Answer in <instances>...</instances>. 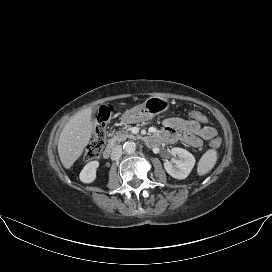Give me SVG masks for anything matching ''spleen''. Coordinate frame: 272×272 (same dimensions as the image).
Listing matches in <instances>:
<instances>
[{
    "mask_svg": "<svg viewBox=\"0 0 272 272\" xmlns=\"http://www.w3.org/2000/svg\"><path fill=\"white\" fill-rule=\"evenodd\" d=\"M217 161V152L213 149L208 150L200 159L198 163V175L207 174L215 165Z\"/></svg>",
    "mask_w": 272,
    "mask_h": 272,
    "instance_id": "3e777b00",
    "label": "spleen"
}]
</instances>
